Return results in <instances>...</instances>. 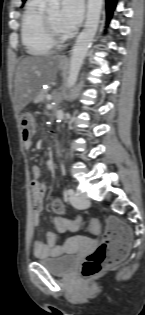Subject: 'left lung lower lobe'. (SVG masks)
I'll list each match as a JSON object with an SVG mask.
<instances>
[{
	"mask_svg": "<svg viewBox=\"0 0 145 315\" xmlns=\"http://www.w3.org/2000/svg\"><path fill=\"white\" fill-rule=\"evenodd\" d=\"M116 0H107V17L110 19L112 12L115 8Z\"/></svg>",
	"mask_w": 145,
	"mask_h": 315,
	"instance_id": "obj_1",
	"label": "left lung lower lobe"
}]
</instances>
